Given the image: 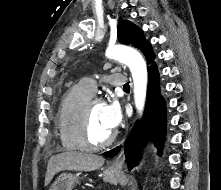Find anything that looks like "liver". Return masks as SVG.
Segmentation results:
<instances>
[{
    "label": "liver",
    "mask_w": 221,
    "mask_h": 190,
    "mask_svg": "<svg viewBox=\"0 0 221 190\" xmlns=\"http://www.w3.org/2000/svg\"><path fill=\"white\" fill-rule=\"evenodd\" d=\"M105 159L92 153L65 151L53 155L47 165L45 186H47L55 174L65 170L94 171L104 164Z\"/></svg>",
    "instance_id": "liver-1"
}]
</instances>
